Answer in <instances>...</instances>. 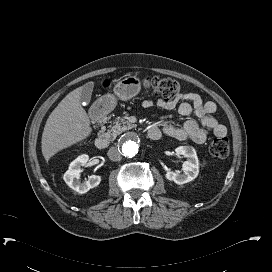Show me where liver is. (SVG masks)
<instances>
[{"label":"liver","instance_id":"liver-1","mask_svg":"<svg viewBox=\"0 0 272 272\" xmlns=\"http://www.w3.org/2000/svg\"><path fill=\"white\" fill-rule=\"evenodd\" d=\"M83 86L71 91L49 115L41 140L44 159L48 162L59 151L86 139L92 132L90 119L81 106Z\"/></svg>","mask_w":272,"mask_h":272}]
</instances>
